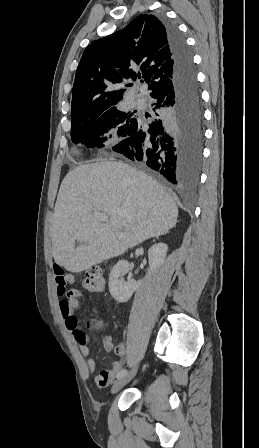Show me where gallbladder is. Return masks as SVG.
Listing matches in <instances>:
<instances>
[{"mask_svg": "<svg viewBox=\"0 0 259 448\" xmlns=\"http://www.w3.org/2000/svg\"><path fill=\"white\" fill-rule=\"evenodd\" d=\"M80 244H81V242H76V244H75L76 248H79Z\"/></svg>", "mask_w": 259, "mask_h": 448, "instance_id": "gallbladder-1", "label": "gallbladder"}]
</instances>
